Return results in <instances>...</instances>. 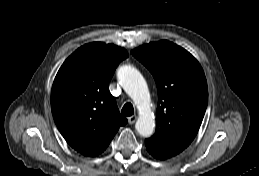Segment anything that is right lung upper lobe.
<instances>
[{
    "instance_id": "1",
    "label": "right lung upper lobe",
    "mask_w": 259,
    "mask_h": 176,
    "mask_svg": "<svg viewBox=\"0 0 259 176\" xmlns=\"http://www.w3.org/2000/svg\"><path fill=\"white\" fill-rule=\"evenodd\" d=\"M127 57L124 48L89 43L69 56L55 77L54 121L67 143L85 156L102 153L127 123L108 87L116 67Z\"/></svg>"
}]
</instances>
